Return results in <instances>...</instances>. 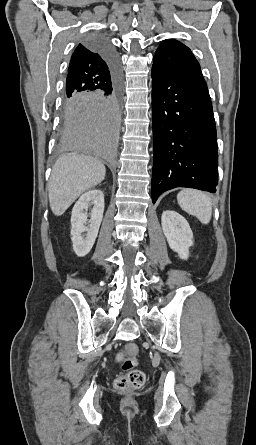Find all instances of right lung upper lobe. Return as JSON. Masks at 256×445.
Segmentation results:
<instances>
[{
  "mask_svg": "<svg viewBox=\"0 0 256 445\" xmlns=\"http://www.w3.org/2000/svg\"><path fill=\"white\" fill-rule=\"evenodd\" d=\"M110 79V69L101 52L86 42L79 44L71 56L64 98L102 90Z\"/></svg>",
  "mask_w": 256,
  "mask_h": 445,
  "instance_id": "right-lung-upper-lobe-1",
  "label": "right lung upper lobe"
}]
</instances>
